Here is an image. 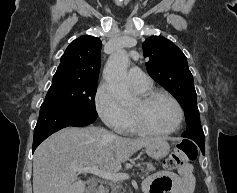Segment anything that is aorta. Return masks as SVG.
<instances>
[{"mask_svg":"<svg viewBox=\"0 0 237 193\" xmlns=\"http://www.w3.org/2000/svg\"><path fill=\"white\" fill-rule=\"evenodd\" d=\"M128 64L129 57L127 52L124 49H120L109 57L103 71L110 92L122 104H128L133 99L126 76Z\"/></svg>","mask_w":237,"mask_h":193,"instance_id":"762f6f07","label":"aorta"}]
</instances>
